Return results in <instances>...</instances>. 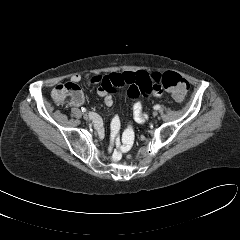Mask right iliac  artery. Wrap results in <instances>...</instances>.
<instances>
[{"instance_id":"obj_1","label":"right iliac artery","mask_w":240,"mask_h":240,"mask_svg":"<svg viewBox=\"0 0 240 240\" xmlns=\"http://www.w3.org/2000/svg\"><path fill=\"white\" fill-rule=\"evenodd\" d=\"M82 112H86V109L84 107L81 108Z\"/></svg>"}]
</instances>
